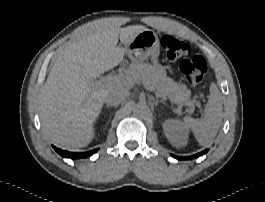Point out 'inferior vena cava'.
Listing matches in <instances>:
<instances>
[{"instance_id": "1", "label": "inferior vena cava", "mask_w": 265, "mask_h": 202, "mask_svg": "<svg viewBox=\"0 0 265 202\" xmlns=\"http://www.w3.org/2000/svg\"><path fill=\"white\" fill-rule=\"evenodd\" d=\"M130 95L129 91L124 88H113L108 91L105 97V102L108 105H119L123 100L128 98Z\"/></svg>"}]
</instances>
